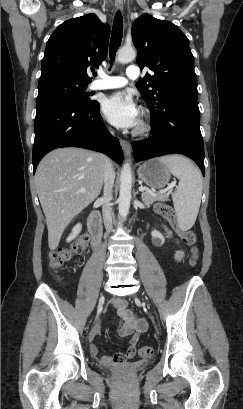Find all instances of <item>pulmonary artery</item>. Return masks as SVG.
<instances>
[{"instance_id": "pulmonary-artery-1", "label": "pulmonary artery", "mask_w": 243, "mask_h": 409, "mask_svg": "<svg viewBox=\"0 0 243 409\" xmlns=\"http://www.w3.org/2000/svg\"><path fill=\"white\" fill-rule=\"evenodd\" d=\"M126 76L131 80H137L140 76V70L137 66L131 65L126 69ZM124 76L107 75L99 71V78L92 81L90 88L94 90H105L123 87L127 83Z\"/></svg>"}]
</instances>
